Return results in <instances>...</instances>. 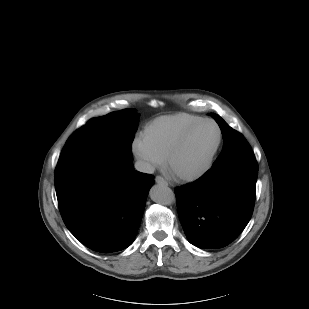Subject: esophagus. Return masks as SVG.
Masks as SVG:
<instances>
[{"instance_id":"1","label":"esophagus","mask_w":309,"mask_h":309,"mask_svg":"<svg viewBox=\"0 0 309 309\" xmlns=\"http://www.w3.org/2000/svg\"><path fill=\"white\" fill-rule=\"evenodd\" d=\"M155 182L161 185H166V186L168 185V182L161 176H156Z\"/></svg>"}]
</instances>
